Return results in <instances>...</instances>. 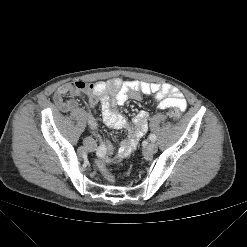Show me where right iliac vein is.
<instances>
[{
  "mask_svg": "<svg viewBox=\"0 0 247 247\" xmlns=\"http://www.w3.org/2000/svg\"><path fill=\"white\" fill-rule=\"evenodd\" d=\"M83 144L84 146L89 149V150H93L96 147V142L94 141V139H92L91 137H87L83 140Z\"/></svg>",
  "mask_w": 247,
  "mask_h": 247,
  "instance_id": "1",
  "label": "right iliac vein"
}]
</instances>
